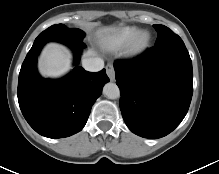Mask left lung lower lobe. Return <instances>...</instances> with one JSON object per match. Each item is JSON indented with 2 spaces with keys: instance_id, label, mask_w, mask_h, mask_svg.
I'll return each mask as SVG.
<instances>
[{
  "instance_id": "1",
  "label": "left lung lower lobe",
  "mask_w": 219,
  "mask_h": 174,
  "mask_svg": "<svg viewBox=\"0 0 219 174\" xmlns=\"http://www.w3.org/2000/svg\"><path fill=\"white\" fill-rule=\"evenodd\" d=\"M114 69L121 113L133 133L157 139L181 123L193 94L185 44L154 46L136 59L116 61Z\"/></svg>"
}]
</instances>
